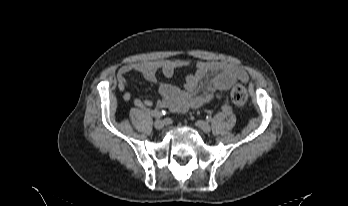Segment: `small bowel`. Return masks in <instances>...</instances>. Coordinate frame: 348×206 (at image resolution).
I'll use <instances>...</instances> for the list:
<instances>
[{
    "mask_svg": "<svg viewBox=\"0 0 348 206\" xmlns=\"http://www.w3.org/2000/svg\"><path fill=\"white\" fill-rule=\"evenodd\" d=\"M176 68H190L193 70L186 78L185 85L178 86L159 81L157 74L164 77L173 76ZM135 72L146 80L156 83L160 93V99L156 103L158 110L168 109L173 112L183 113L189 109H197L220 99L230 89L234 82L246 83L249 76L241 66L216 61L188 62L185 60H159L142 61L123 65L117 72V83L120 91L128 87L126 76ZM211 76L206 81L205 79ZM131 93L126 91L123 99L129 101ZM135 107L146 110L152 106L149 99H135Z\"/></svg>",
    "mask_w": 348,
    "mask_h": 206,
    "instance_id": "c3829d8e",
    "label": "small bowel"
}]
</instances>
